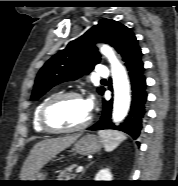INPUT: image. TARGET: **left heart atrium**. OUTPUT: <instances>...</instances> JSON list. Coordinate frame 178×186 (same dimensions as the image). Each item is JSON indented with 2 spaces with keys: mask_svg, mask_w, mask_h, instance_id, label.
<instances>
[{
  "mask_svg": "<svg viewBox=\"0 0 178 186\" xmlns=\"http://www.w3.org/2000/svg\"><path fill=\"white\" fill-rule=\"evenodd\" d=\"M86 103V106L88 108L89 111L92 110L93 106H94V99L92 97L88 98L87 100H84Z\"/></svg>",
  "mask_w": 178,
  "mask_h": 186,
  "instance_id": "obj_1",
  "label": "left heart atrium"
}]
</instances>
